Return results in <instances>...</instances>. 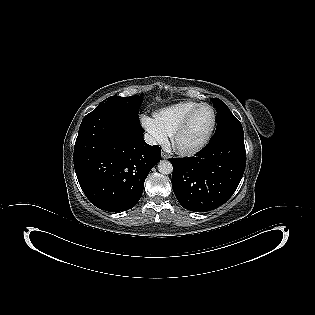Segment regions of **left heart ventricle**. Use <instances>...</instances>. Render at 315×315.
<instances>
[{"mask_svg":"<svg viewBox=\"0 0 315 315\" xmlns=\"http://www.w3.org/2000/svg\"><path fill=\"white\" fill-rule=\"evenodd\" d=\"M212 120L211 110L208 107L200 108L193 116L187 129L178 138V147L187 149L199 144L208 133Z\"/></svg>","mask_w":315,"mask_h":315,"instance_id":"obj_1","label":"left heart ventricle"}]
</instances>
